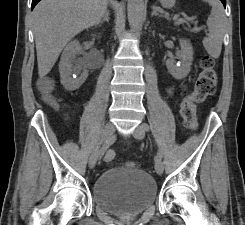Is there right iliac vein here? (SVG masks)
<instances>
[{"label": "right iliac vein", "instance_id": "1", "mask_svg": "<svg viewBox=\"0 0 245 225\" xmlns=\"http://www.w3.org/2000/svg\"><path fill=\"white\" fill-rule=\"evenodd\" d=\"M115 132V127L112 123H107L105 124L103 130H102V134H101V142H105L106 140H108L109 138H111L113 136ZM101 151L102 149L99 148V144L94 148V150L92 151L90 158H89V167L90 168H94L96 165L97 160L99 159L100 155H101Z\"/></svg>", "mask_w": 245, "mask_h": 225}]
</instances>
